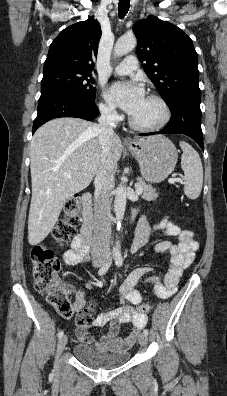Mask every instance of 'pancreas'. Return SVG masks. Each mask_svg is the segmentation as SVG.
Wrapping results in <instances>:
<instances>
[{"label":"pancreas","instance_id":"1","mask_svg":"<svg viewBox=\"0 0 227 396\" xmlns=\"http://www.w3.org/2000/svg\"><path fill=\"white\" fill-rule=\"evenodd\" d=\"M137 185L143 189L142 198L146 201H154L158 197L156 190L145 181L139 179Z\"/></svg>","mask_w":227,"mask_h":396}]
</instances>
